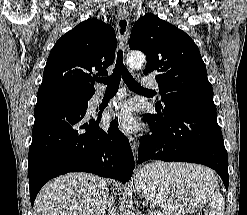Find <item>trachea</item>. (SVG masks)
Here are the masks:
<instances>
[{
    "label": "trachea",
    "mask_w": 247,
    "mask_h": 215,
    "mask_svg": "<svg viewBox=\"0 0 247 215\" xmlns=\"http://www.w3.org/2000/svg\"><path fill=\"white\" fill-rule=\"evenodd\" d=\"M120 33L124 34L127 22L126 20H120ZM121 78L128 86V88L132 91H150L148 89L143 88L140 84H138L133 76L129 73L128 69L123 63V51L119 50L117 52V59L115 64V69L113 74L110 77H102L98 78L97 82L104 83L107 85L106 90H118Z\"/></svg>",
    "instance_id": "3493384b"
}]
</instances>
